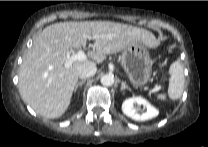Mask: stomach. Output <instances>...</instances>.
<instances>
[{
    "mask_svg": "<svg viewBox=\"0 0 208 147\" xmlns=\"http://www.w3.org/2000/svg\"><path fill=\"white\" fill-rule=\"evenodd\" d=\"M121 65L133 85L143 86L150 80L152 60L148 50L141 43L133 44L123 50Z\"/></svg>",
    "mask_w": 208,
    "mask_h": 147,
    "instance_id": "obj_1",
    "label": "stomach"
}]
</instances>
